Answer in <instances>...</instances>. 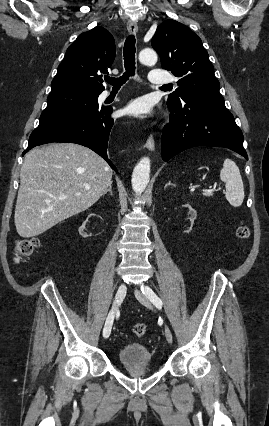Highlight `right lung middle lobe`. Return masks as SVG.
Masks as SVG:
<instances>
[{"instance_id":"obj_1","label":"right lung middle lobe","mask_w":269,"mask_h":426,"mask_svg":"<svg viewBox=\"0 0 269 426\" xmlns=\"http://www.w3.org/2000/svg\"><path fill=\"white\" fill-rule=\"evenodd\" d=\"M99 94L79 90L51 92L47 98V107L40 116L39 124L96 108L98 107Z\"/></svg>"}]
</instances>
